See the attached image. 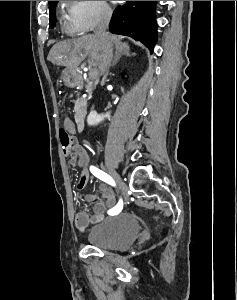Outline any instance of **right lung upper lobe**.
I'll use <instances>...</instances> for the list:
<instances>
[{"label": "right lung upper lobe", "instance_id": "1", "mask_svg": "<svg viewBox=\"0 0 237 300\" xmlns=\"http://www.w3.org/2000/svg\"><path fill=\"white\" fill-rule=\"evenodd\" d=\"M53 1H48V3L50 4V3H52Z\"/></svg>", "mask_w": 237, "mask_h": 300}]
</instances>
